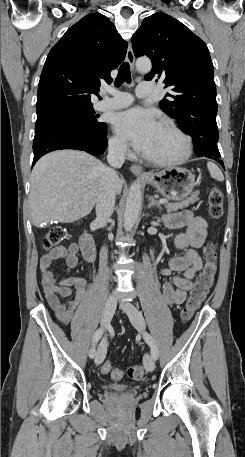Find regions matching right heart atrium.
Listing matches in <instances>:
<instances>
[{
    "label": "right heart atrium",
    "mask_w": 245,
    "mask_h": 457,
    "mask_svg": "<svg viewBox=\"0 0 245 457\" xmlns=\"http://www.w3.org/2000/svg\"><path fill=\"white\" fill-rule=\"evenodd\" d=\"M110 147L117 154H127L129 152L126 142L119 136H113L110 139Z\"/></svg>",
    "instance_id": "right-heart-atrium-1"
}]
</instances>
